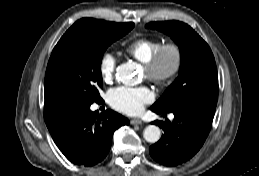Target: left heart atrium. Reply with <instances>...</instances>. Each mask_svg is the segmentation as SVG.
<instances>
[{"instance_id": "39dd6f15", "label": "left heart atrium", "mask_w": 259, "mask_h": 176, "mask_svg": "<svg viewBox=\"0 0 259 176\" xmlns=\"http://www.w3.org/2000/svg\"><path fill=\"white\" fill-rule=\"evenodd\" d=\"M153 99V92L146 86H120L110 90L108 94L109 104L115 110L127 115L139 114Z\"/></svg>"}]
</instances>
